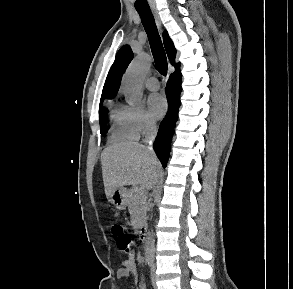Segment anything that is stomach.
Returning a JSON list of instances; mask_svg holds the SVG:
<instances>
[{
  "label": "stomach",
  "instance_id": "obj_1",
  "mask_svg": "<svg viewBox=\"0 0 293 289\" xmlns=\"http://www.w3.org/2000/svg\"><path fill=\"white\" fill-rule=\"evenodd\" d=\"M109 202L118 210H124L127 205V190L124 187H118L110 196Z\"/></svg>",
  "mask_w": 293,
  "mask_h": 289
}]
</instances>
